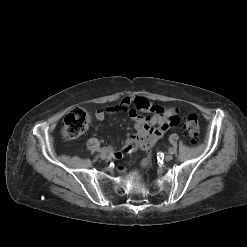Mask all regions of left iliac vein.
I'll list each match as a JSON object with an SVG mask.
<instances>
[{"instance_id":"4c4485c4","label":"left iliac vein","mask_w":247,"mask_h":247,"mask_svg":"<svg viewBox=\"0 0 247 247\" xmlns=\"http://www.w3.org/2000/svg\"><path fill=\"white\" fill-rule=\"evenodd\" d=\"M164 159L166 162H169L173 159V156L171 154H167Z\"/></svg>"}]
</instances>
